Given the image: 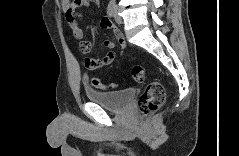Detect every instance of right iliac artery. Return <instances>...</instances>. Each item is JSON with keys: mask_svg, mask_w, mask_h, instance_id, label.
<instances>
[{"mask_svg": "<svg viewBox=\"0 0 239 156\" xmlns=\"http://www.w3.org/2000/svg\"><path fill=\"white\" fill-rule=\"evenodd\" d=\"M115 9H116V4L115 3H109L107 7V14L109 17H114L115 16Z\"/></svg>", "mask_w": 239, "mask_h": 156, "instance_id": "right-iliac-artery-1", "label": "right iliac artery"}]
</instances>
